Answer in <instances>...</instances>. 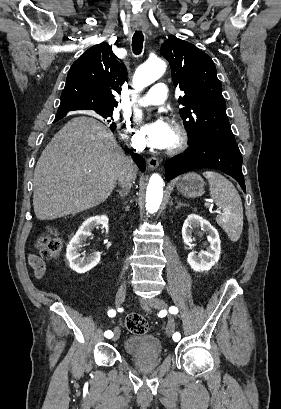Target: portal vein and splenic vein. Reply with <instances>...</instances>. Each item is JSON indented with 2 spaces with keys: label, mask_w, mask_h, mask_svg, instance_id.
Here are the masks:
<instances>
[{
  "label": "portal vein and splenic vein",
  "mask_w": 281,
  "mask_h": 409,
  "mask_svg": "<svg viewBox=\"0 0 281 409\" xmlns=\"http://www.w3.org/2000/svg\"><path fill=\"white\" fill-rule=\"evenodd\" d=\"M204 200H212V198H211V197L201 198V201H204ZM215 213H216V214H220V213H221V210H220V209H216V210H215Z\"/></svg>",
  "instance_id": "portal-vein-and-splenic-vein-1"
}]
</instances>
